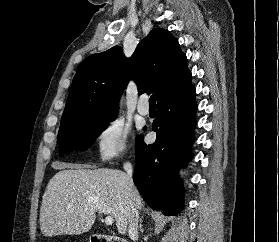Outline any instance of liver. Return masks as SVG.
Instances as JSON below:
<instances>
[{"label": "liver", "mask_w": 279, "mask_h": 242, "mask_svg": "<svg viewBox=\"0 0 279 242\" xmlns=\"http://www.w3.org/2000/svg\"><path fill=\"white\" fill-rule=\"evenodd\" d=\"M49 181L42 199L40 230L46 237L78 235L93 226L96 212L114 217L116 227L125 235L131 204L141 209V197L133 188L128 195V175L116 169H89L63 164Z\"/></svg>", "instance_id": "obj_1"}]
</instances>
